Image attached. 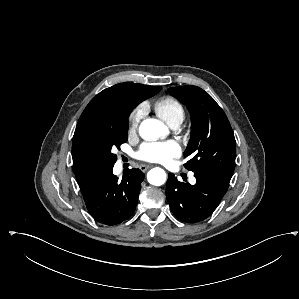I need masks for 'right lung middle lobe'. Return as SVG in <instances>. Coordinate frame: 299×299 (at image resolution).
<instances>
[{
	"label": "right lung middle lobe",
	"mask_w": 299,
	"mask_h": 299,
	"mask_svg": "<svg viewBox=\"0 0 299 299\" xmlns=\"http://www.w3.org/2000/svg\"><path fill=\"white\" fill-rule=\"evenodd\" d=\"M153 95L155 93L148 97ZM130 112L131 109L114 111L73 140L72 157L78 184L114 166L117 160L114 149H120L128 138L127 119Z\"/></svg>",
	"instance_id": "1"
}]
</instances>
